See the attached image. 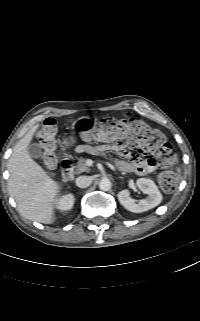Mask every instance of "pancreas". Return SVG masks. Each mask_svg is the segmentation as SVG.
<instances>
[{
	"label": "pancreas",
	"mask_w": 200,
	"mask_h": 321,
	"mask_svg": "<svg viewBox=\"0 0 200 321\" xmlns=\"http://www.w3.org/2000/svg\"><path fill=\"white\" fill-rule=\"evenodd\" d=\"M76 170L78 173L90 171L89 167L86 165V159H84V158L79 159L77 166H76Z\"/></svg>",
	"instance_id": "cf45deb5"
}]
</instances>
